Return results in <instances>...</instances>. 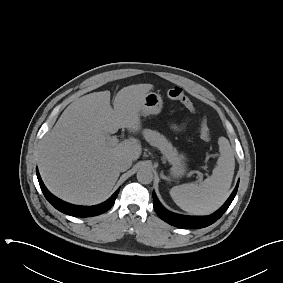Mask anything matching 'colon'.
<instances>
[{"instance_id":"1","label":"colon","mask_w":283,"mask_h":283,"mask_svg":"<svg viewBox=\"0 0 283 283\" xmlns=\"http://www.w3.org/2000/svg\"><path fill=\"white\" fill-rule=\"evenodd\" d=\"M167 96L172 100L179 101L190 112H195V105L181 88L179 87L170 88L167 91ZM199 133H200V137L203 140L209 141L211 139L210 129L207 126L205 118H202L200 121Z\"/></svg>"}]
</instances>
